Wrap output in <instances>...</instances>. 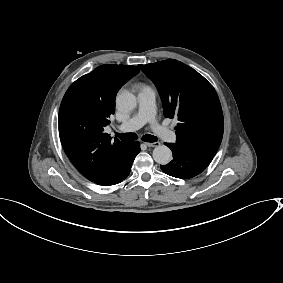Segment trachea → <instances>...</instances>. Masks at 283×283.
<instances>
[{"label":"trachea","instance_id":"1","mask_svg":"<svg viewBox=\"0 0 283 283\" xmlns=\"http://www.w3.org/2000/svg\"><path fill=\"white\" fill-rule=\"evenodd\" d=\"M116 136L122 139H130V140H135L138 139L137 134L135 133H116ZM145 142H156L157 137L149 134H145L141 138Z\"/></svg>","mask_w":283,"mask_h":283}]
</instances>
